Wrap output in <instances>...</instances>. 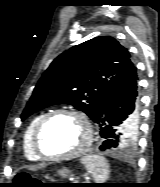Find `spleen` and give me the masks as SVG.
Here are the masks:
<instances>
[{"instance_id":"spleen-1","label":"spleen","mask_w":160,"mask_h":187,"mask_svg":"<svg viewBox=\"0 0 160 187\" xmlns=\"http://www.w3.org/2000/svg\"><path fill=\"white\" fill-rule=\"evenodd\" d=\"M87 171L92 174L96 183H104L109 175V166L106 160L98 155H88L81 159Z\"/></svg>"}]
</instances>
